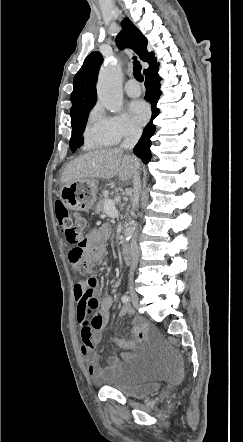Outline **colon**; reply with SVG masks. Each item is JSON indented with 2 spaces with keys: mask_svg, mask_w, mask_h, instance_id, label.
Masks as SVG:
<instances>
[{
  "mask_svg": "<svg viewBox=\"0 0 243 442\" xmlns=\"http://www.w3.org/2000/svg\"><path fill=\"white\" fill-rule=\"evenodd\" d=\"M55 214L63 235L72 249L68 253V260L74 265L85 257V238L82 233L85 229V220L76 213H71L62 201L55 202Z\"/></svg>",
  "mask_w": 243,
  "mask_h": 442,
  "instance_id": "obj_1",
  "label": "colon"
}]
</instances>
